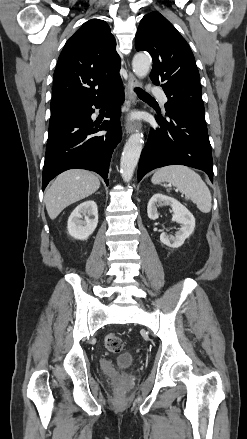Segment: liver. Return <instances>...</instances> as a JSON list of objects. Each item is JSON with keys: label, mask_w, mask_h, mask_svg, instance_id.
I'll list each match as a JSON object with an SVG mask.
<instances>
[{"label": "liver", "mask_w": 247, "mask_h": 439, "mask_svg": "<svg viewBox=\"0 0 247 439\" xmlns=\"http://www.w3.org/2000/svg\"><path fill=\"white\" fill-rule=\"evenodd\" d=\"M99 187L98 177L90 171L71 169L61 173L45 192L49 217L54 220L67 206L92 195Z\"/></svg>", "instance_id": "6515ba94"}]
</instances>
